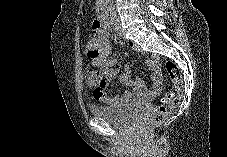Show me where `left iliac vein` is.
<instances>
[{"label": "left iliac vein", "mask_w": 227, "mask_h": 157, "mask_svg": "<svg viewBox=\"0 0 227 157\" xmlns=\"http://www.w3.org/2000/svg\"><path fill=\"white\" fill-rule=\"evenodd\" d=\"M118 33L122 34L120 27L118 28Z\"/></svg>", "instance_id": "1"}]
</instances>
